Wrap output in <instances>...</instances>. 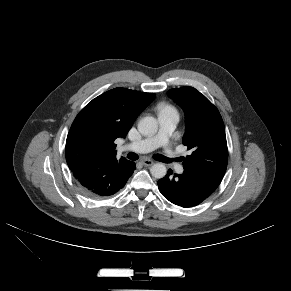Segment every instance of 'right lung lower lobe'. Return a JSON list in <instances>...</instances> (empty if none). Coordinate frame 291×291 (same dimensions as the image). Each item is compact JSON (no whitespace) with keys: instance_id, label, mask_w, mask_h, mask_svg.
<instances>
[{"instance_id":"right-lung-lower-lobe-1","label":"right lung lower lobe","mask_w":291,"mask_h":291,"mask_svg":"<svg viewBox=\"0 0 291 291\" xmlns=\"http://www.w3.org/2000/svg\"><path fill=\"white\" fill-rule=\"evenodd\" d=\"M136 169L134 162L116 157L96 158L74 170L80 190L90 198L114 195L122 189Z\"/></svg>"}]
</instances>
